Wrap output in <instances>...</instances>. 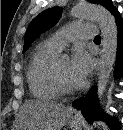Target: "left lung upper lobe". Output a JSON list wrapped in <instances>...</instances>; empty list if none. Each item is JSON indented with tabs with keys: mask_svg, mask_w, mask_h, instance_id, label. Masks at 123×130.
<instances>
[{
	"mask_svg": "<svg viewBox=\"0 0 123 130\" xmlns=\"http://www.w3.org/2000/svg\"><path fill=\"white\" fill-rule=\"evenodd\" d=\"M91 3L104 6L111 13L116 10L111 0H89ZM61 17V8L52 7L37 15L30 23L24 38L23 52L29 47L30 43L41 33L52 27Z\"/></svg>",
	"mask_w": 123,
	"mask_h": 130,
	"instance_id": "1",
	"label": "left lung upper lobe"
}]
</instances>
